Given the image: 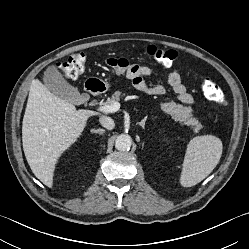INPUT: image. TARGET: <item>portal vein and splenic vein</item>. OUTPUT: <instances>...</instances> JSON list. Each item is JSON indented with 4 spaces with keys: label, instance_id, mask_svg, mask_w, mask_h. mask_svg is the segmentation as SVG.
<instances>
[{
    "label": "portal vein and splenic vein",
    "instance_id": "obj_1",
    "mask_svg": "<svg viewBox=\"0 0 249 249\" xmlns=\"http://www.w3.org/2000/svg\"><path fill=\"white\" fill-rule=\"evenodd\" d=\"M121 104L119 102H114L110 105H103L100 107V110L107 113H114L120 109Z\"/></svg>",
    "mask_w": 249,
    "mask_h": 249
}]
</instances>
